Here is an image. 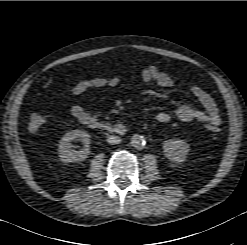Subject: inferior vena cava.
Segmentation results:
<instances>
[{
  "label": "inferior vena cava",
  "mask_w": 247,
  "mask_h": 245,
  "mask_svg": "<svg viewBox=\"0 0 247 245\" xmlns=\"http://www.w3.org/2000/svg\"><path fill=\"white\" fill-rule=\"evenodd\" d=\"M107 142L110 145H116V144L121 143V138L119 136H116V135H109L107 137Z\"/></svg>",
  "instance_id": "obj_1"
}]
</instances>
